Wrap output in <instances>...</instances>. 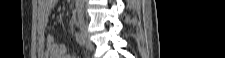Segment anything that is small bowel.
I'll return each mask as SVG.
<instances>
[{"label":"small bowel","instance_id":"1","mask_svg":"<svg viewBox=\"0 0 225 58\" xmlns=\"http://www.w3.org/2000/svg\"><path fill=\"white\" fill-rule=\"evenodd\" d=\"M57 0H40L37 8L38 50L43 58H77L76 54H68L65 45L56 41L53 34L45 37L52 10Z\"/></svg>","mask_w":225,"mask_h":58}]
</instances>
